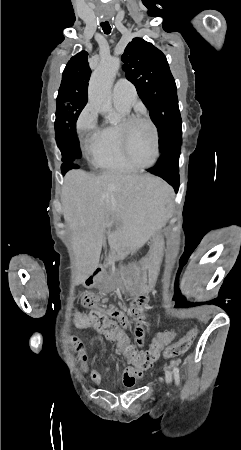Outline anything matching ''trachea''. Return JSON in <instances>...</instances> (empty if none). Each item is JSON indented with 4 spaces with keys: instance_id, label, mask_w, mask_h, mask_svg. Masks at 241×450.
I'll list each match as a JSON object with an SVG mask.
<instances>
[{
    "instance_id": "3493384b",
    "label": "trachea",
    "mask_w": 241,
    "mask_h": 450,
    "mask_svg": "<svg viewBox=\"0 0 241 450\" xmlns=\"http://www.w3.org/2000/svg\"><path fill=\"white\" fill-rule=\"evenodd\" d=\"M101 27L103 29V32L106 35H109V33H111V27H110V24L108 22L101 23Z\"/></svg>"
}]
</instances>
